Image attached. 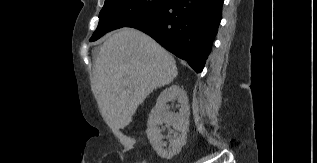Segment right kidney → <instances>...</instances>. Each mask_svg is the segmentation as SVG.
<instances>
[{
    "label": "right kidney",
    "mask_w": 317,
    "mask_h": 163,
    "mask_svg": "<svg viewBox=\"0 0 317 163\" xmlns=\"http://www.w3.org/2000/svg\"><path fill=\"white\" fill-rule=\"evenodd\" d=\"M176 100L179 103V113H170L167 102ZM190 107L186 92L178 85L166 88L158 97L155 107L151 110L147 123V137L157 154L165 159H171L178 154L186 143L189 130ZM163 123L172 126V135L169 138V148L165 149L160 125Z\"/></svg>",
    "instance_id": "ca27d5eb"
}]
</instances>
